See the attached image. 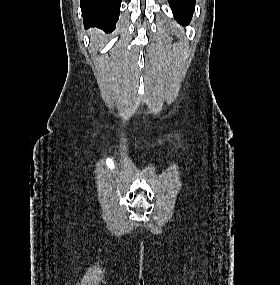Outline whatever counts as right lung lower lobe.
<instances>
[{"label": "right lung lower lobe", "mask_w": 280, "mask_h": 285, "mask_svg": "<svg viewBox=\"0 0 280 285\" xmlns=\"http://www.w3.org/2000/svg\"><path fill=\"white\" fill-rule=\"evenodd\" d=\"M121 0H80L83 23L86 28L98 27L112 32L120 13Z\"/></svg>", "instance_id": "obj_1"}]
</instances>
